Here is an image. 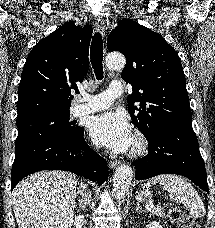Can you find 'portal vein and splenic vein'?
<instances>
[{"label":"portal vein and splenic vein","mask_w":215,"mask_h":228,"mask_svg":"<svg viewBox=\"0 0 215 228\" xmlns=\"http://www.w3.org/2000/svg\"><path fill=\"white\" fill-rule=\"evenodd\" d=\"M146 210H154V208H156V206H154V204H152V202H149V204H147V206H145Z\"/></svg>","instance_id":"1"}]
</instances>
